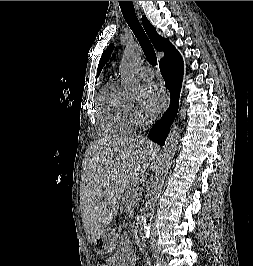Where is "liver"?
<instances>
[{
    "mask_svg": "<svg viewBox=\"0 0 253 266\" xmlns=\"http://www.w3.org/2000/svg\"><path fill=\"white\" fill-rule=\"evenodd\" d=\"M155 152L152 142L134 136L90 143L81 177L82 221L89 243L113 221L123 193L145 173Z\"/></svg>",
    "mask_w": 253,
    "mask_h": 266,
    "instance_id": "liver-1",
    "label": "liver"
}]
</instances>
